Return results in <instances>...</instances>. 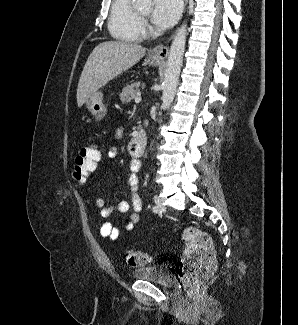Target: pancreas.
<instances>
[{"mask_svg":"<svg viewBox=\"0 0 298 325\" xmlns=\"http://www.w3.org/2000/svg\"><path fill=\"white\" fill-rule=\"evenodd\" d=\"M139 86H141V82H132V84H128V86H123L119 94L121 102L126 104V102H130L132 98H136Z\"/></svg>","mask_w":298,"mask_h":325,"instance_id":"cf45deb5","label":"pancreas"}]
</instances>
